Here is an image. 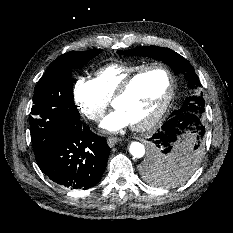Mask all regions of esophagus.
Returning a JSON list of instances; mask_svg holds the SVG:
<instances>
[{
	"label": "esophagus",
	"instance_id": "esophagus-1",
	"mask_svg": "<svg viewBox=\"0 0 233 233\" xmlns=\"http://www.w3.org/2000/svg\"><path fill=\"white\" fill-rule=\"evenodd\" d=\"M118 141H119V139L116 138V137H109V138L107 139V143H108V145H109L110 147H113Z\"/></svg>",
	"mask_w": 233,
	"mask_h": 233
}]
</instances>
